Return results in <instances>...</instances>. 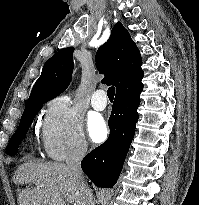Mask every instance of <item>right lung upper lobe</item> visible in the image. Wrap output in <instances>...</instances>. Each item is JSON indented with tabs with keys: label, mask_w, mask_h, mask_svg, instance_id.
Listing matches in <instances>:
<instances>
[{
	"label": "right lung upper lobe",
	"mask_w": 199,
	"mask_h": 205,
	"mask_svg": "<svg viewBox=\"0 0 199 205\" xmlns=\"http://www.w3.org/2000/svg\"><path fill=\"white\" fill-rule=\"evenodd\" d=\"M73 52L74 47L63 48L46 61L27 103L53 99L67 88L74 66ZM95 61L99 73L105 74L102 83L114 85L116 92L143 74L140 52L120 22L112 28L108 41L97 50Z\"/></svg>",
	"instance_id": "cb5924a9"
}]
</instances>
